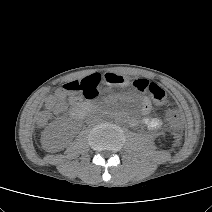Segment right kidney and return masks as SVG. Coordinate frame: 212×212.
Wrapping results in <instances>:
<instances>
[{"label":"right kidney","mask_w":212,"mask_h":212,"mask_svg":"<svg viewBox=\"0 0 212 212\" xmlns=\"http://www.w3.org/2000/svg\"><path fill=\"white\" fill-rule=\"evenodd\" d=\"M59 138H60L59 133H56L55 131H49L44 138V144L50 142H56V140Z\"/></svg>","instance_id":"obj_1"}]
</instances>
